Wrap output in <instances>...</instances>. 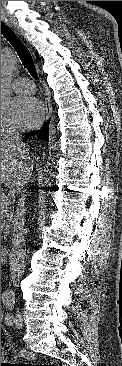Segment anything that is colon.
Listing matches in <instances>:
<instances>
[{
  "label": "colon",
  "mask_w": 122,
  "mask_h": 366,
  "mask_svg": "<svg viewBox=\"0 0 122 366\" xmlns=\"http://www.w3.org/2000/svg\"><path fill=\"white\" fill-rule=\"evenodd\" d=\"M1 357L13 360L15 358V352L9 343L8 336L3 328H1ZM16 366H32V364H15ZM43 366H56V365H43Z\"/></svg>",
  "instance_id": "colon-1"
}]
</instances>
